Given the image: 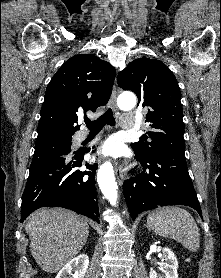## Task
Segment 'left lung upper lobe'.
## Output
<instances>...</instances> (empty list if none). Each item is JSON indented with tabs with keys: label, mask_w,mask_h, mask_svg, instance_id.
Masks as SVG:
<instances>
[{
	"label": "left lung upper lobe",
	"mask_w": 221,
	"mask_h": 278,
	"mask_svg": "<svg viewBox=\"0 0 221 278\" xmlns=\"http://www.w3.org/2000/svg\"><path fill=\"white\" fill-rule=\"evenodd\" d=\"M118 85L133 91L138 105L145 108L151 127L131 146L135 154L151 158L164 150H185L183 110L178 82L159 60L140 58L118 74Z\"/></svg>",
	"instance_id": "1"
}]
</instances>
